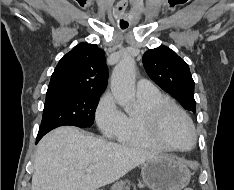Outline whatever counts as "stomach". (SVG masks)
Returning <instances> with one entry per match:
<instances>
[{"label":"stomach","mask_w":234,"mask_h":190,"mask_svg":"<svg viewBox=\"0 0 234 190\" xmlns=\"http://www.w3.org/2000/svg\"><path fill=\"white\" fill-rule=\"evenodd\" d=\"M141 174L151 190H182L191 178V172L185 163L171 155H157L147 160ZM126 182H117L111 190H125Z\"/></svg>","instance_id":"0dacf381"}]
</instances>
